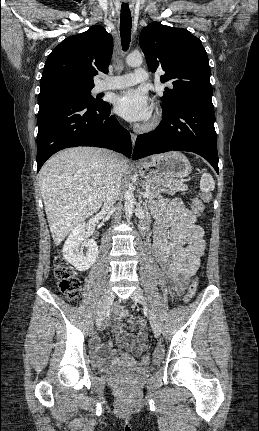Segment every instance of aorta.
Instances as JSON below:
<instances>
[{
	"label": "aorta",
	"instance_id": "762f6f07",
	"mask_svg": "<svg viewBox=\"0 0 259 431\" xmlns=\"http://www.w3.org/2000/svg\"><path fill=\"white\" fill-rule=\"evenodd\" d=\"M142 62H143V59L140 54H130L126 58L127 65L131 67H138L142 64ZM132 188L133 186L132 184H130L128 190L125 193L124 209H125V215L128 221L132 217L134 205H135V198H134Z\"/></svg>",
	"mask_w": 259,
	"mask_h": 431
}]
</instances>
